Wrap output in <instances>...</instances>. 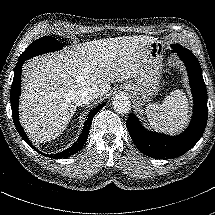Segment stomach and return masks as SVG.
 I'll return each mask as SVG.
<instances>
[{
  "instance_id": "1",
  "label": "stomach",
  "mask_w": 215,
  "mask_h": 215,
  "mask_svg": "<svg viewBox=\"0 0 215 215\" xmlns=\"http://www.w3.org/2000/svg\"><path fill=\"white\" fill-rule=\"evenodd\" d=\"M165 49V43L161 40L152 43L146 56L139 61L137 72L132 76V80L121 85L119 91L122 94L130 92V97L138 104L149 102L160 90Z\"/></svg>"
}]
</instances>
